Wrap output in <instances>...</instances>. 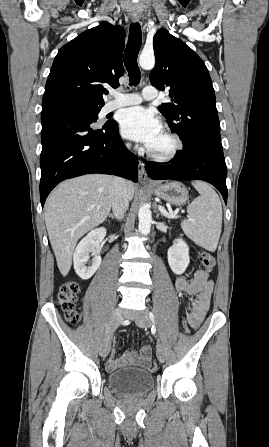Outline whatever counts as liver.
Segmentation results:
<instances>
[{
	"label": "liver",
	"instance_id": "6515ba94",
	"mask_svg": "<svg viewBox=\"0 0 269 447\" xmlns=\"http://www.w3.org/2000/svg\"><path fill=\"white\" fill-rule=\"evenodd\" d=\"M112 176H80L66 180L50 194L45 204V224L62 275H67L74 247L86 231L105 222L112 204ZM128 200L134 184L126 182Z\"/></svg>",
	"mask_w": 269,
	"mask_h": 447
}]
</instances>
